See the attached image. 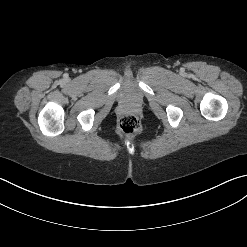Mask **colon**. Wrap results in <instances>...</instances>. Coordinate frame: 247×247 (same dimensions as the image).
<instances>
[{
	"label": "colon",
	"mask_w": 247,
	"mask_h": 247,
	"mask_svg": "<svg viewBox=\"0 0 247 247\" xmlns=\"http://www.w3.org/2000/svg\"><path fill=\"white\" fill-rule=\"evenodd\" d=\"M141 127L139 118L131 112L125 113L118 121L120 133L126 137L133 136L139 132Z\"/></svg>",
	"instance_id": "1"
}]
</instances>
